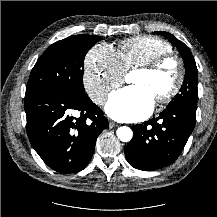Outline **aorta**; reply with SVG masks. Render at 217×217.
Segmentation results:
<instances>
[{
  "instance_id": "762f6f07",
  "label": "aorta",
  "mask_w": 217,
  "mask_h": 217,
  "mask_svg": "<svg viewBox=\"0 0 217 217\" xmlns=\"http://www.w3.org/2000/svg\"><path fill=\"white\" fill-rule=\"evenodd\" d=\"M117 137L122 142H129L133 137L132 130L127 126L119 127L116 131Z\"/></svg>"
}]
</instances>
